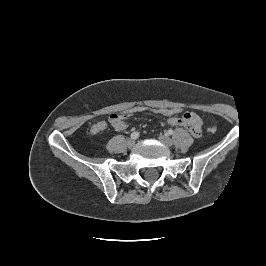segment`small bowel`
I'll return each mask as SVG.
<instances>
[{
    "label": "small bowel",
    "mask_w": 266,
    "mask_h": 266,
    "mask_svg": "<svg viewBox=\"0 0 266 266\" xmlns=\"http://www.w3.org/2000/svg\"><path fill=\"white\" fill-rule=\"evenodd\" d=\"M168 124L171 126H181L186 128L194 137H199L202 130V119L194 112H186L181 117H170ZM117 131H123L127 128V124L124 119H120L117 122L111 124ZM107 127L105 121H98L94 123L90 132L93 135L102 133Z\"/></svg>",
    "instance_id": "small-bowel-1"
}]
</instances>
